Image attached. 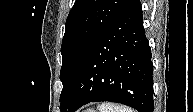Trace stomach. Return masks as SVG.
I'll list each match as a JSON object with an SVG mask.
<instances>
[{"label":"stomach","instance_id":"obj_1","mask_svg":"<svg viewBox=\"0 0 193 112\" xmlns=\"http://www.w3.org/2000/svg\"><path fill=\"white\" fill-rule=\"evenodd\" d=\"M87 112H94V110L93 109H89V110H87Z\"/></svg>","mask_w":193,"mask_h":112}]
</instances>
